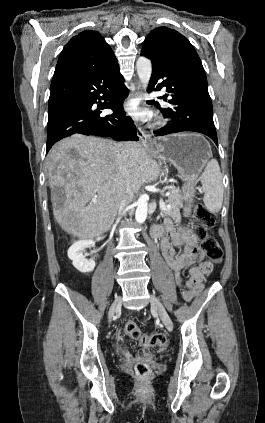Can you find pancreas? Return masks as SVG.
Instances as JSON below:
<instances>
[{"instance_id": "cf45deb5", "label": "pancreas", "mask_w": 265, "mask_h": 423, "mask_svg": "<svg viewBox=\"0 0 265 423\" xmlns=\"http://www.w3.org/2000/svg\"><path fill=\"white\" fill-rule=\"evenodd\" d=\"M182 194L179 190H171L166 199V205H169V208L162 211L166 216H170L175 221H179L181 218L180 208L183 205Z\"/></svg>"}]
</instances>
